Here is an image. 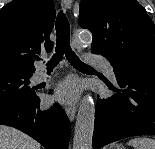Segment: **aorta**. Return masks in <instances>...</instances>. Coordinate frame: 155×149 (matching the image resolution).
I'll list each match as a JSON object with an SVG mask.
<instances>
[{
    "mask_svg": "<svg viewBox=\"0 0 155 149\" xmlns=\"http://www.w3.org/2000/svg\"><path fill=\"white\" fill-rule=\"evenodd\" d=\"M91 42L92 35L88 31H81L75 38L76 44L90 45ZM94 121V100L91 95L86 94L80 102L77 113L73 149H92Z\"/></svg>",
    "mask_w": 155,
    "mask_h": 149,
    "instance_id": "762f6f07",
    "label": "aorta"
}]
</instances>
